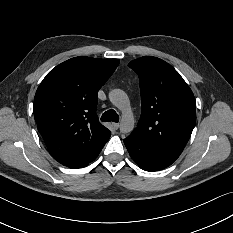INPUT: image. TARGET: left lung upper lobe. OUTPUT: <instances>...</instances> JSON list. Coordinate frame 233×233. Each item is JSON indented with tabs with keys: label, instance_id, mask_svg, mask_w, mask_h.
<instances>
[{
	"label": "left lung upper lobe",
	"instance_id": "1",
	"mask_svg": "<svg viewBox=\"0 0 233 233\" xmlns=\"http://www.w3.org/2000/svg\"><path fill=\"white\" fill-rule=\"evenodd\" d=\"M128 66L139 75L142 100L141 117L131 134L180 155L195 127L191 89L170 64L159 58L144 56Z\"/></svg>",
	"mask_w": 233,
	"mask_h": 233
}]
</instances>
